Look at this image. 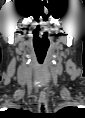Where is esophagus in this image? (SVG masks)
Wrapping results in <instances>:
<instances>
[{
  "instance_id": "obj_1",
  "label": "esophagus",
  "mask_w": 85,
  "mask_h": 118,
  "mask_svg": "<svg viewBox=\"0 0 85 118\" xmlns=\"http://www.w3.org/2000/svg\"><path fill=\"white\" fill-rule=\"evenodd\" d=\"M38 110L40 112H47L48 111V106H47V101H46V95L44 92L40 94L39 97V102H38Z\"/></svg>"
}]
</instances>
